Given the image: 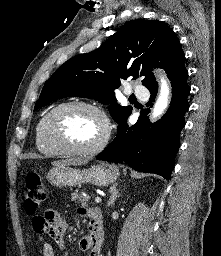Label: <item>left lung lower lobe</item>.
I'll return each mask as SVG.
<instances>
[{
    "label": "left lung lower lobe",
    "instance_id": "left-lung-lower-lobe-1",
    "mask_svg": "<svg viewBox=\"0 0 221 256\" xmlns=\"http://www.w3.org/2000/svg\"><path fill=\"white\" fill-rule=\"evenodd\" d=\"M187 77L188 71L184 67L169 78L172 101L158 122L150 124L149 111L142 109L135 125L128 127L127 120L118 125L116 138L96 158L127 163L136 171L155 173L169 179L180 147L179 134L185 125L184 115L189 109ZM157 89V84L148 88L151 96L147 105L154 101Z\"/></svg>",
    "mask_w": 221,
    "mask_h": 256
}]
</instances>
